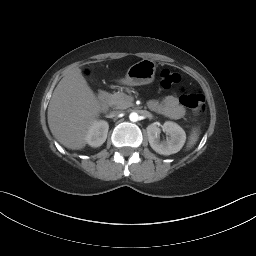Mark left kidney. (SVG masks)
<instances>
[{
  "instance_id": "obj_1",
  "label": "left kidney",
  "mask_w": 256,
  "mask_h": 256,
  "mask_svg": "<svg viewBox=\"0 0 256 256\" xmlns=\"http://www.w3.org/2000/svg\"><path fill=\"white\" fill-rule=\"evenodd\" d=\"M162 129L169 135L166 141H160L161 130L156 124H150L146 128L151 148L161 155H170L180 151L186 141L185 131L172 121L165 122Z\"/></svg>"
}]
</instances>
